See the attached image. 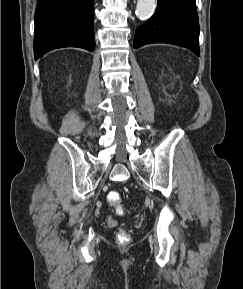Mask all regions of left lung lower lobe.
Listing matches in <instances>:
<instances>
[{"label": "left lung lower lobe", "instance_id": "left-lung-lower-lobe-1", "mask_svg": "<svg viewBox=\"0 0 243 289\" xmlns=\"http://www.w3.org/2000/svg\"><path fill=\"white\" fill-rule=\"evenodd\" d=\"M169 43L199 50V23L195 0H158L155 14L135 32L134 48Z\"/></svg>", "mask_w": 243, "mask_h": 289}]
</instances>
